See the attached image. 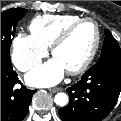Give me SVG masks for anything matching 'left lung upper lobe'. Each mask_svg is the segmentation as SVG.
Returning a JSON list of instances; mask_svg holds the SVG:
<instances>
[{
  "instance_id": "1",
  "label": "left lung upper lobe",
  "mask_w": 121,
  "mask_h": 121,
  "mask_svg": "<svg viewBox=\"0 0 121 121\" xmlns=\"http://www.w3.org/2000/svg\"><path fill=\"white\" fill-rule=\"evenodd\" d=\"M107 60H121V50L117 40L113 37L109 30L105 31V40L98 63Z\"/></svg>"
}]
</instances>
